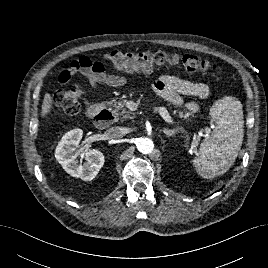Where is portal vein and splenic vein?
Returning <instances> with one entry per match:
<instances>
[{"instance_id": "18ae733b", "label": "portal vein and splenic vein", "mask_w": 268, "mask_h": 268, "mask_svg": "<svg viewBox=\"0 0 268 268\" xmlns=\"http://www.w3.org/2000/svg\"><path fill=\"white\" fill-rule=\"evenodd\" d=\"M155 111L160 114V116L167 122V123H173V118L168 113L167 109L165 107H156Z\"/></svg>"}]
</instances>
